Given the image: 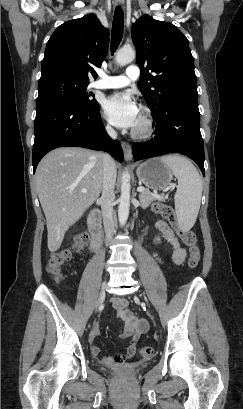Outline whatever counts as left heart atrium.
I'll return each instance as SVG.
<instances>
[{
    "label": "left heart atrium",
    "instance_id": "left-heart-atrium-1",
    "mask_svg": "<svg viewBox=\"0 0 243 409\" xmlns=\"http://www.w3.org/2000/svg\"><path fill=\"white\" fill-rule=\"evenodd\" d=\"M103 110L108 121L119 128L135 127L139 116L134 99L125 92L110 95L103 103Z\"/></svg>",
    "mask_w": 243,
    "mask_h": 409
}]
</instances>
